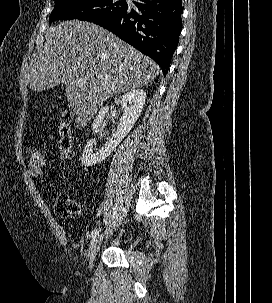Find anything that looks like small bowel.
Segmentation results:
<instances>
[{
  "mask_svg": "<svg viewBox=\"0 0 272 303\" xmlns=\"http://www.w3.org/2000/svg\"><path fill=\"white\" fill-rule=\"evenodd\" d=\"M30 170H31V169H30ZM31 174H32L33 176L39 177L38 175L34 174L32 171H31Z\"/></svg>",
  "mask_w": 272,
  "mask_h": 303,
  "instance_id": "1",
  "label": "small bowel"
}]
</instances>
